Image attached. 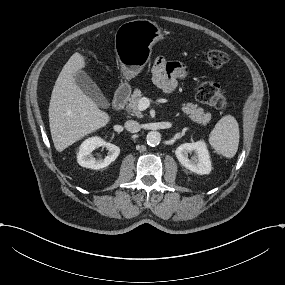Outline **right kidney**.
Returning a JSON list of instances; mask_svg holds the SVG:
<instances>
[{
    "label": "right kidney",
    "instance_id": "ca27d5eb",
    "mask_svg": "<svg viewBox=\"0 0 285 285\" xmlns=\"http://www.w3.org/2000/svg\"><path fill=\"white\" fill-rule=\"evenodd\" d=\"M105 146L109 153L104 159H95L91 152L100 147ZM120 153V148L114 144L105 142L100 137H90L82 142L77 153V162L80 166L91 169H100L108 166L115 161Z\"/></svg>",
    "mask_w": 285,
    "mask_h": 285
}]
</instances>
